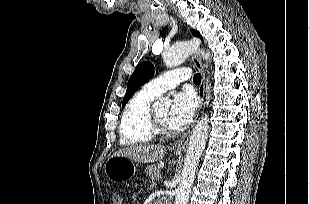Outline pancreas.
<instances>
[{
  "label": "pancreas",
  "instance_id": "cf45deb5",
  "mask_svg": "<svg viewBox=\"0 0 309 204\" xmlns=\"http://www.w3.org/2000/svg\"><path fill=\"white\" fill-rule=\"evenodd\" d=\"M145 172L154 181H158L161 178V169L157 164L148 166Z\"/></svg>",
  "mask_w": 309,
  "mask_h": 204
}]
</instances>
